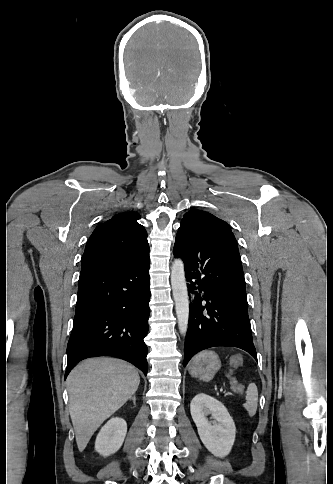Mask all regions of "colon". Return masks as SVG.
<instances>
[{
    "instance_id": "obj_1",
    "label": "colon",
    "mask_w": 333,
    "mask_h": 484,
    "mask_svg": "<svg viewBox=\"0 0 333 484\" xmlns=\"http://www.w3.org/2000/svg\"><path fill=\"white\" fill-rule=\"evenodd\" d=\"M242 363V358L240 356L233 357L230 363L231 369L239 367ZM231 388L237 394H242L244 392V385L241 384L236 378L231 377L230 379Z\"/></svg>"
}]
</instances>
